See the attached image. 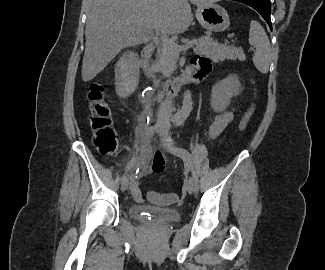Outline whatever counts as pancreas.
<instances>
[{"label": "pancreas", "mask_w": 325, "mask_h": 270, "mask_svg": "<svg viewBox=\"0 0 325 270\" xmlns=\"http://www.w3.org/2000/svg\"><path fill=\"white\" fill-rule=\"evenodd\" d=\"M195 44V53L209 56L214 61H224L229 59H238L240 61L246 60L242 48L222 45L208 36L201 37L200 39H198V41H196ZM179 52L180 51H178L174 47L168 44H163L162 47L158 50V55L154 62V66L157 71L163 73L165 77H170V75L175 70V65L179 57Z\"/></svg>", "instance_id": "1"}]
</instances>
